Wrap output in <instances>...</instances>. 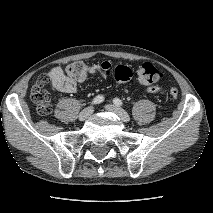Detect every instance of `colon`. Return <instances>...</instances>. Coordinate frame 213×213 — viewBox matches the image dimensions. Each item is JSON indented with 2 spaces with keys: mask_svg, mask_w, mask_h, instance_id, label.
<instances>
[{
  "mask_svg": "<svg viewBox=\"0 0 213 213\" xmlns=\"http://www.w3.org/2000/svg\"><path fill=\"white\" fill-rule=\"evenodd\" d=\"M66 74L75 81L86 80L93 72V68L83 61H75L66 66ZM111 75L119 83L123 84L132 78V70L125 65H118L112 70ZM162 78V72L151 63H143L136 69V79L143 86H154ZM47 77L42 76L33 86L31 98L37 106L40 114H48L51 111V96L46 88ZM169 94L176 99L179 95L177 88H170Z\"/></svg>",
  "mask_w": 213,
  "mask_h": 213,
  "instance_id": "colon-1",
  "label": "colon"
}]
</instances>
